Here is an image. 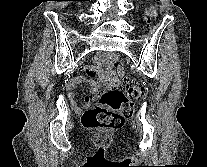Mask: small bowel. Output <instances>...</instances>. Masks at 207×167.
Returning a JSON list of instances; mask_svg holds the SVG:
<instances>
[{
  "instance_id": "small-bowel-1",
  "label": "small bowel",
  "mask_w": 207,
  "mask_h": 167,
  "mask_svg": "<svg viewBox=\"0 0 207 167\" xmlns=\"http://www.w3.org/2000/svg\"><path fill=\"white\" fill-rule=\"evenodd\" d=\"M80 83L89 84L90 90L93 94H96L103 87V82L101 80L86 78L84 76H77V77L71 79L70 81H68L66 84V87H65L66 92H67V97H68L71 105L77 111H81L83 108L89 107L92 104V102L94 101V96H88L85 99V103H84L83 107H81L78 104V102L75 98L74 88L76 87L77 84H80Z\"/></svg>"
}]
</instances>
